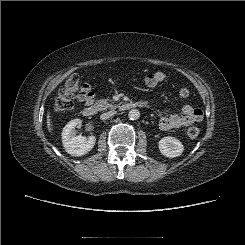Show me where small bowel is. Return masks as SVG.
Here are the masks:
<instances>
[{
    "label": "small bowel",
    "mask_w": 245,
    "mask_h": 245,
    "mask_svg": "<svg viewBox=\"0 0 245 245\" xmlns=\"http://www.w3.org/2000/svg\"><path fill=\"white\" fill-rule=\"evenodd\" d=\"M165 79V75L160 72L149 73L145 78V83L148 87H156L161 84ZM77 99L79 102L86 104L92 103L94 99V93L89 84H83L81 92L78 94ZM144 105H149V102H142ZM203 118V111L200 108L194 107L191 104H185L182 106V114H172L163 116L160 119L159 126L163 131L171 129H177L181 127L189 126L193 123L201 121Z\"/></svg>",
    "instance_id": "1"
}]
</instances>
